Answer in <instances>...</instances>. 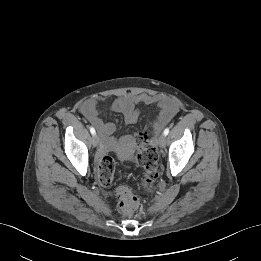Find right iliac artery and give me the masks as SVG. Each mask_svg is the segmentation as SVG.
Returning a JSON list of instances; mask_svg holds the SVG:
<instances>
[{"label": "right iliac artery", "instance_id": "obj_1", "mask_svg": "<svg viewBox=\"0 0 261 261\" xmlns=\"http://www.w3.org/2000/svg\"><path fill=\"white\" fill-rule=\"evenodd\" d=\"M90 132L92 135H94L96 132H95V129L93 127H90Z\"/></svg>", "mask_w": 261, "mask_h": 261}]
</instances>
